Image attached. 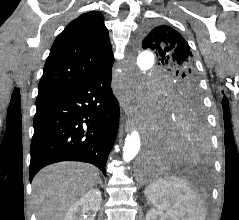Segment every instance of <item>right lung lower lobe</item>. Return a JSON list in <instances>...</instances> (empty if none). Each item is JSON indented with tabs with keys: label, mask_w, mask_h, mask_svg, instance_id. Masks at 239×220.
I'll return each instance as SVG.
<instances>
[{
	"label": "right lung lower lobe",
	"mask_w": 239,
	"mask_h": 220,
	"mask_svg": "<svg viewBox=\"0 0 239 220\" xmlns=\"http://www.w3.org/2000/svg\"><path fill=\"white\" fill-rule=\"evenodd\" d=\"M111 78L109 67L78 85L37 96L30 182L44 166L66 160L94 164L106 175L119 124Z\"/></svg>",
	"instance_id": "98d812e1"
}]
</instances>
